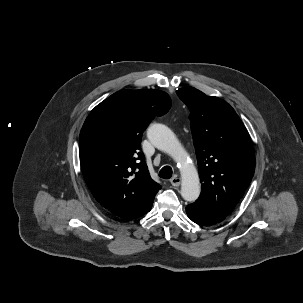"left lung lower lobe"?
<instances>
[{
  "instance_id": "1",
  "label": "left lung lower lobe",
  "mask_w": 303,
  "mask_h": 303,
  "mask_svg": "<svg viewBox=\"0 0 303 303\" xmlns=\"http://www.w3.org/2000/svg\"><path fill=\"white\" fill-rule=\"evenodd\" d=\"M186 213L193 222L205 226L219 223L227 217L222 212L198 202L188 205Z\"/></svg>"
}]
</instances>
